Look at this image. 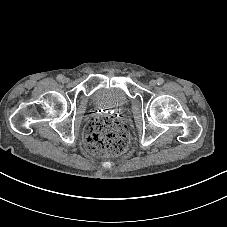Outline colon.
<instances>
[{
    "label": "colon",
    "mask_w": 227,
    "mask_h": 227,
    "mask_svg": "<svg viewBox=\"0 0 227 227\" xmlns=\"http://www.w3.org/2000/svg\"><path fill=\"white\" fill-rule=\"evenodd\" d=\"M85 145L88 151L100 156L122 154L129 141L126 126L118 119L98 115L92 118L85 130Z\"/></svg>",
    "instance_id": "obj_1"
}]
</instances>
